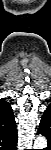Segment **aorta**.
Listing matches in <instances>:
<instances>
[{
	"label": "aorta",
	"mask_w": 51,
	"mask_h": 150,
	"mask_svg": "<svg viewBox=\"0 0 51 150\" xmlns=\"http://www.w3.org/2000/svg\"><path fill=\"white\" fill-rule=\"evenodd\" d=\"M47 146V140L43 136H39L34 141L35 149H42Z\"/></svg>",
	"instance_id": "762f6f07"
}]
</instances>
